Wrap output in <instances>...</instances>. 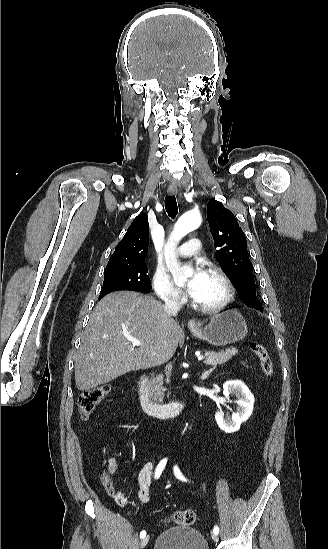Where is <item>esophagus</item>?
Returning <instances> with one entry per match:
<instances>
[{"label":"esophagus","instance_id":"1","mask_svg":"<svg viewBox=\"0 0 328 549\" xmlns=\"http://www.w3.org/2000/svg\"><path fill=\"white\" fill-rule=\"evenodd\" d=\"M177 191H178L177 185H175V184H169V186H168V193H169L170 195H175V194H177ZM188 326H189L190 328H195V327H196V322H195V320H194V319H190L189 322H188Z\"/></svg>","mask_w":328,"mask_h":549}]
</instances>
